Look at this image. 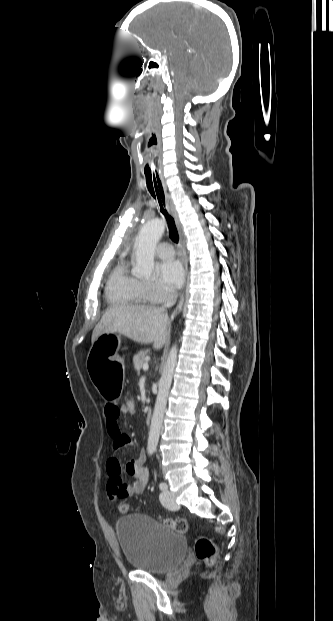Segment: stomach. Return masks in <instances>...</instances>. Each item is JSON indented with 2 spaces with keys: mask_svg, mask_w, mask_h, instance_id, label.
I'll list each match as a JSON object with an SVG mask.
<instances>
[{
  "mask_svg": "<svg viewBox=\"0 0 333 621\" xmlns=\"http://www.w3.org/2000/svg\"><path fill=\"white\" fill-rule=\"evenodd\" d=\"M120 335L105 333L99 336L87 353L86 364L95 389L103 399L113 397L118 402L125 389L123 369L126 357Z\"/></svg>",
  "mask_w": 333,
  "mask_h": 621,
  "instance_id": "1",
  "label": "stomach"
}]
</instances>
